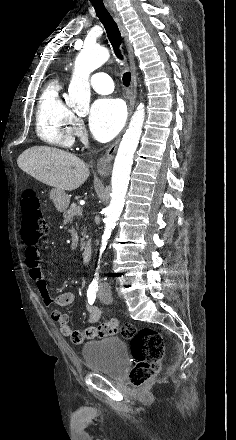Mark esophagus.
<instances>
[{"label":"esophagus","mask_w":236,"mask_h":440,"mask_svg":"<svg viewBox=\"0 0 236 440\" xmlns=\"http://www.w3.org/2000/svg\"><path fill=\"white\" fill-rule=\"evenodd\" d=\"M106 7L118 25V28H119L121 35L125 41V45H126L127 52H128L130 69H131V85H130V90H129V109H128V117H130L132 114L134 105H135L136 92H137V75H136V65H135V60H134L133 46L129 40L128 31H127L125 25L123 24L122 19L119 15L114 3L107 0ZM119 141H120V138L117 139L113 143V145L107 150L105 155L99 159L98 164H97V170L101 176H108L109 175V173L111 171L112 160L114 158Z\"/></svg>","instance_id":"1"}]
</instances>
